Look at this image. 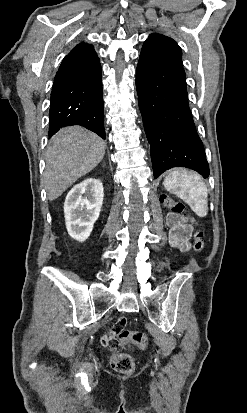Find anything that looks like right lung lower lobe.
Listing matches in <instances>:
<instances>
[{
	"label": "right lung lower lobe",
	"instance_id": "right-lung-lower-lobe-1",
	"mask_svg": "<svg viewBox=\"0 0 247 413\" xmlns=\"http://www.w3.org/2000/svg\"><path fill=\"white\" fill-rule=\"evenodd\" d=\"M70 125L84 126L106 138L100 62L59 67L51 92L49 138Z\"/></svg>",
	"mask_w": 247,
	"mask_h": 413
}]
</instances>
